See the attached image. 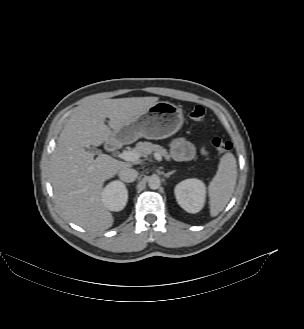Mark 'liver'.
<instances>
[{"instance_id":"liver-1","label":"liver","mask_w":304,"mask_h":329,"mask_svg":"<svg viewBox=\"0 0 304 329\" xmlns=\"http://www.w3.org/2000/svg\"><path fill=\"white\" fill-rule=\"evenodd\" d=\"M157 101L158 97L93 100L68 120L52 154L50 180L56 202L70 221L93 232L112 226L113 216L102 202V187L132 164L106 154L94 159L85 148L109 142L113 130L127 125ZM106 118L109 126L104 123Z\"/></svg>"}]
</instances>
